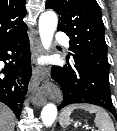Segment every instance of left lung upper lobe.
Masks as SVG:
<instances>
[{
	"mask_svg": "<svg viewBox=\"0 0 117 131\" xmlns=\"http://www.w3.org/2000/svg\"><path fill=\"white\" fill-rule=\"evenodd\" d=\"M45 7L59 14L58 30L70 37L73 60L85 63L109 80L104 24L96 0H47Z\"/></svg>",
	"mask_w": 117,
	"mask_h": 131,
	"instance_id": "5c2ea615",
	"label": "left lung upper lobe"
}]
</instances>
